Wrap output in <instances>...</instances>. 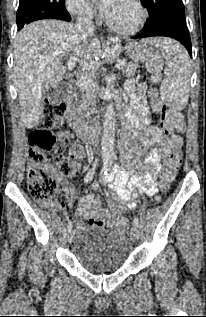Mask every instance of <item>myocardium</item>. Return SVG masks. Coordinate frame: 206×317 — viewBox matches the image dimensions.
<instances>
[{
    "mask_svg": "<svg viewBox=\"0 0 206 317\" xmlns=\"http://www.w3.org/2000/svg\"><path fill=\"white\" fill-rule=\"evenodd\" d=\"M130 2L138 9L139 19L131 27H120L113 24L106 16H103L106 26L113 32L121 35H131L140 31L148 18V11L140 0H130Z\"/></svg>",
    "mask_w": 206,
    "mask_h": 317,
    "instance_id": "f54148a6",
    "label": "myocardium"
}]
</instances>
